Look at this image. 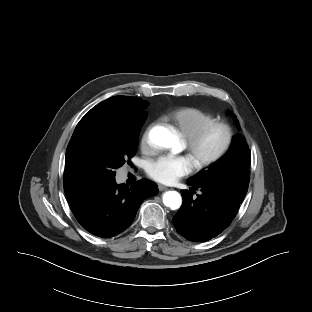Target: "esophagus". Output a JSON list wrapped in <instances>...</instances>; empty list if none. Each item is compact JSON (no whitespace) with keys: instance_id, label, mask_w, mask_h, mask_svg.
<instances>
[{"instance_id":"34e87169","label":"esophagus","mask_w":312,"mask_h":312,"mask_svg":"<svg viewBox=\"0 0 312 312\" xmlns=\"http://www.w3.org/2000/svg\"><path fill=\"white\" fill-rule=\"evenodd\" d=\"M158 189H159V191H165L168 188L166 186L162 185V184H158Z\"/></svg>"}]
</instances>
